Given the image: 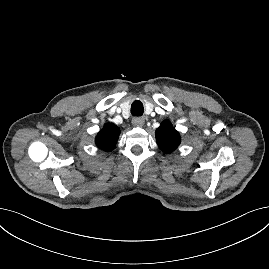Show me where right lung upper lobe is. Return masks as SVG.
<instances>
[{"mask_svg":"<svg viewBox=\"0 0 269 269\" xmlns=\"http://www.w3.org/2000/svg\"><path fill=\"white\" fill-rule=\"evenodd\" d=\"M120 135V129L111 123H107L97 134L95 143L97 147L105 151L114 149Z\"/></svg>","mask_w":269,"mask_h":269,"instance_id":"obj_1","label":"right lung upper lobe"}]
</instances>
